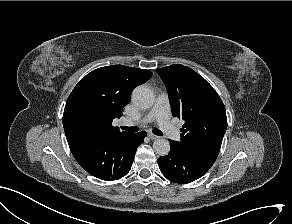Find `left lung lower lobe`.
Returning <instances> with one entry per match:
<instances>
[{"label": "left lung lower lobe", "mask_w": 292, "mask_h": 224, "mask_svg": "<svg viewBox=\"0 0 292 224\" xmlns=\"http://www.w3.org/2000/svg\"><path fill=\"white\" fill-rule=\"evenodd\" d=\"M170 145L169 154L157 160L160 171L168 180L189 183L202 177L211 168L197 157L180 149L172 140Z\"/></svg>", "instance_id": "left-lung-lower-lobe-1"}]
</instances>
